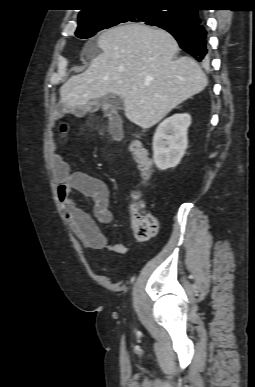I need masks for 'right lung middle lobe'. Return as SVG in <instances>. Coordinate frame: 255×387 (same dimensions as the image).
<instances>
[{
	"label": "right lung middle lobe",
	"instance_id": "1",
	"mask_svg": "<svg viewBox=\"0 0 255 387\" xmlns=\"http://www.w3.org/2000/svg\"><path fill=\"white\" fill-rule=\"evenodd\" d=\"M144 22L161 26L182 22L179 8L162 11L158 6H124L104 10L79 19L75 35L82 39L124 22Z\"/></svg>",
	"mask_w": 255,
	"mask_h": 387
}]
</instances>
